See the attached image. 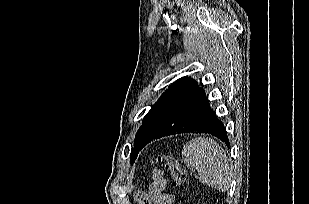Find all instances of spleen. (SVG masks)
I'll use <instances>...</instances> for the list:
<instances>
[{
  "label": "spleen",
  "instance_id": "obj_1",
  "mask_svg": "<svg viewBox=\"0 0 309 204\" xmlns=\"http://www.w3.org/2000/svg\"><path fill=\"white\" fill-rule=\"evenodd\" d=\"M183 161L196 169L199 181L219 191H227L232 179V166L223 148L213 139L198 137L183 147Z\"/></svg>",
  "mask_w": 309,
  "mask_h": 204
}]
</instances>
